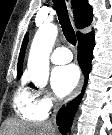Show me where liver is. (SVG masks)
<instances>
[{
  "label": "liver",
  "mask_w": 112,
  "mask_h": 135,
  "mask_svg": "<svg viewBox=\"0 0 112 135\" xmlns=\"http://www.w3.org/2000/svg\"><path fill=\"white\" fill-rule=\"evenodd\" d=\"M3 135H55V130L51 122L30 123L7 119Z\"/></svg>",
  "instance_id": "obj_1"
}]
</instances>
